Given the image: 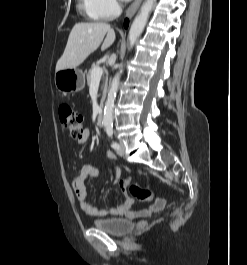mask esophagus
Returning a JSON list of instances; mask_svg holds the SVG:
<instances>
[{
    "label": "esophagus",
    "instance_id": "34e87169",
    "mask_svg": "<svg viewBox=\"0 0 247 265\" xmlns=\"http://www.w3.org/2000/svg\"><path fill=\"white\" fill-rule=\"evenodd\" d=\"M142 1L143 0H134V2L131 4V6L129 7V9H128L127 13H126V16L128 18H131L136 13V11L140 7Z\"/></svg>",
    "mask_w": 247,
    "mask_h": 265
}]
</instances>
